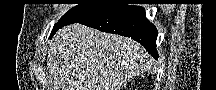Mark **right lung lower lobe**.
Wrapping results in <instances>:
<instances>
[{
    "label": "right lung lower lobe",
    "mask_w": 216,
    "mask_h": 90,
    "mask_svg": "<svg viewBox=\"0 0 216 90\" xmlns=\"http://www.w3.org/2000/svg\"><path fill=\"white\" fill-rule=\"evenodd\" d=\"M77 22L103 32L131 37L142 44L155 59H158L157 29L148 21L145 10L140 6L115 5L103 13Z\"/></svg>",
    "instance_id": "right-lung-lower-lobe-1"
}]
</instances>
